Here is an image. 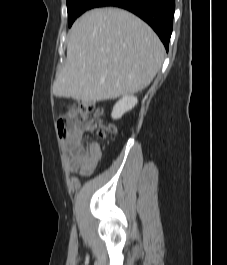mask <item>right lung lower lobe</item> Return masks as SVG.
<instances>
[{
    "label": "right lung lower lobe",
    "mask_w": 227,
    "mask_h": 265,
    "mask_svg": "<svg viewBox=\"0 0 227 265\" xmlns=\"http://www.w3.org/2000/svg\"><path fill=\"white\" fill-rule=\"evenodd\" d=\"M105 6L120 7L139 16L153 28L168 51L175 0H95L91 8Z\"/></svg>",
    "instance_id": "1"
}]
</instances>
